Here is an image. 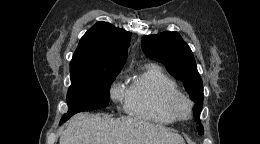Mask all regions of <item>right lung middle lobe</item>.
Instances as JSON below:
<instances>
[{
    "mask_svg": "<svg viewBox=\"0 0 260 144\" xmlns=\"http://www.w3.org/2000/svg\"><path fill=\"white\" fill-rule=\"evenodd\" d=\"M119 72L110 70L71 75L67 93L68 112L61 118L60 124L76 113L106 107L110 86Z\"/></svg>",
    "mask_w": 260,
    "mask_h": 144,
    "instance_id": "right-lung-middle-lobe-1",
    "label": "right lung middle lobe"
}]
</instances>
